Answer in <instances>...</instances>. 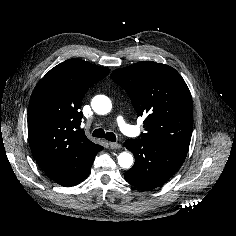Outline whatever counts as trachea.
Instances as JSON below:
<instances>
[{
    "mask_svg": "<svg viewBox=\"0 0 236 236\" xmlns=\"http://www.w3.org/2000/svg\"><path fill=\"white\" fill-rule=\"evenodd\" d=\"M93 137L97 138H105L108 141L115 142L116 141V135L113 132H106L102 129H96L92 133Z\"/></svg>",
    "mask_w": 236,
    "mask_h": 236,
    "instance_id": "1",
    "label": "trachea"
}]
</instances>
